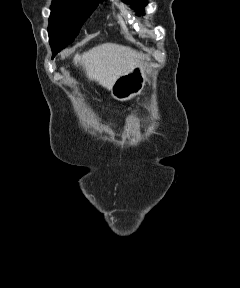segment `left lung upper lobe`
Returning a JSON list of instances; mask_svg holds the SVG:
<instances>
[{
    "instance_id": "5c2ea615",
    "label": "left lung upper lobe",
    "mask_w": 240,
    "mask_h": 288,
    "mask_svg": "<svg viewBox=\"0 0 240 288\" xmlns=\"http://www.w3.org/2000/svg\"><path fill=\"white\" fill-rule=\"evenodd\" d=\"M126 3L133 5V8L137 11L138 15L143 14V7L147 5L146 0H123Z\"/></svg>"
}]
</instances>
